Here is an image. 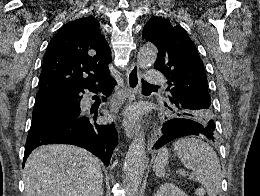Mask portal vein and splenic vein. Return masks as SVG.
Listing matches in <instances>:
<instances>
[{
	"mask_svg": "<svg viewBox=\"0 0 260 196\" xmlns=\"http://www.w3.org/2000/svg\"><path fill=\"white\" fill-rule=\"evenodd\" d=\"M179 174H186L185 170H179Z\"/></svg>",
	"mask_w": 260,
	"mask_h": 196,
	"instance_id": "18ae733b",
	"label": "portal vein and splenic vein"
}]
</instances>
